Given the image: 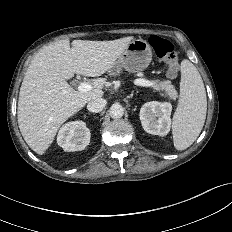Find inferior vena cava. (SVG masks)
Returning a JSON list of instances; mask_svg holds the SVG:
<instances>
[{
  "mask_svg": "<svg viewBox=\"0 0 232 232\" xmlns=\"http://www.w3.org/2000/svg\"><path fill=\"white\" fill-rule=\"evenodd\" d=\"M106 106V100L103 98H95L91 101H89L87 105V109L92 113H98L103 110V108Z\"/></svg>",
  "mask_w": 232,
  "mask_h": 232,
  "instance_id": "obj_1",
  "label": "inferior vena cava"
}]
</instances>
